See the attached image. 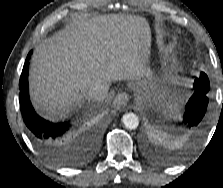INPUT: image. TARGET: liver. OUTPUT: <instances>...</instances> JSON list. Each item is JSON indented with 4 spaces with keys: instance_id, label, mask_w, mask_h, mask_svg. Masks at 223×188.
<instances>
[{
    "instance_id": "liver-1",
    "label": "liver",
    "mask_w": 223,
    "mask_h": 188,
    "mask_svg": "<svg viewBox=\"0 0 223 188\" xmlns=\"http://www.w3.org/2000/svg\"><path fill=\"white\" fill-rule=\"evenodd\" d=\"M145 18L99 15L71 23L36 48L30 68L34 106L51 119L81 106L98 79L139 80L146 72L138 44Z\"/></svg>"
}]
</instances>
